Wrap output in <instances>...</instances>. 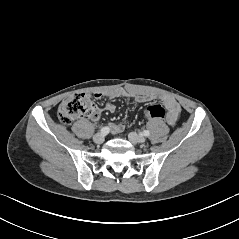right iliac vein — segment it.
Instances as JSON below:
<instances>
[{"label": "right iliac vein", "mask_w": 239, "mask_h": 239, "mask_svg": "<svg viewBox=\"0 0 239 239\" xmlns=\"http://www.w3.org/2000/svg\"><path fill=\"white\" fill-rule=\"evenodd\" d=\"M93 141L97 144H102L104 142V134L97 133L93 137Z\"/></svg>", "instance_id": "63e3f726"}]
</instances>
